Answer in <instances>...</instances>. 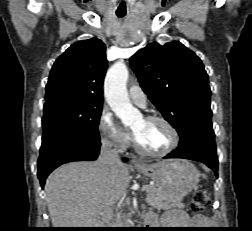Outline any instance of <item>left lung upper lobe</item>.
<instances>
[{
	"mask_svg": "<svg viewBox=\"0 0 252 231\" xmlns=\"http://www.w3.org/2000/svg\"><path fill=\"white\" fill-rule=\"evenodd\" d=\"M130 64L148 98L179 135L190 126L212 124L208 75L193 51L178 41L153 42Z\"/></svg>",
	"mask_w": 252,
	"mask_h": 231,
	"instance_id": "obj_1",
	"label": "left lung upper lobe"
}]
</instances>
